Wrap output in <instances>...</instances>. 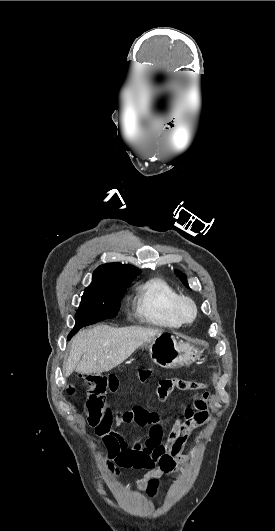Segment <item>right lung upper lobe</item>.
<instances>
[{
  "instance_id": "right-lung-upper-lobe-1",
  "label": "right lung upper lobe",
  "mask_w": 275,
  "mask_h": 531,
  "mask_svg": "<svg viewBox=\"0 0 275 531\" xmlns=\"http://www.w3.org/2000/svg\"><path fill=\"white\" fill-rule=\"evenodd\" d=\"M138 271L136 267L128 264L123 265L118 262L103 264L94 271L92 283L131 282Z\"/></svg>"
}]
</instances>
